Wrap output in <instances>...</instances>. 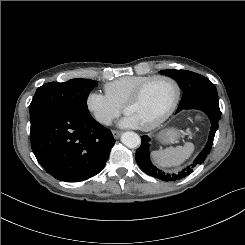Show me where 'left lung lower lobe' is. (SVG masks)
Here are the masks:
<instances>
[{"instance_id":"obj_1","label":"left lung lower lobe","mask_w":245,"mask_h":245,"mask_svg":"<svg viewBox=\"0 0 245 245\" xmlns=\"http://www.w3.org/2000/svg\"><path fill=\"white\" fill-rule=\"evenodd\" d=\"M185 109H199L205 112L211 121V130L209 134V140L204 147V149L200 152L197 158L193 161L192 164L187 166L186 168L182 169L179 172L175 173H166L158 168H156L150 160V138L147 135H143L141 137V145L136 151L135 159L139 165V167L148 175L153 176L155 178L161 179L163 181H174L178 179H182L188 176L190 173L193 172V169L202 164L206 159L207 155L209 154L215 132L218 129V122L221 116L219 103L218 102H198L192 105H189Z\"/></svg>"}]
</instances>
